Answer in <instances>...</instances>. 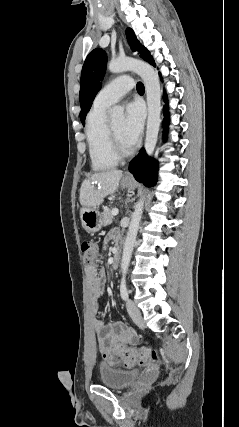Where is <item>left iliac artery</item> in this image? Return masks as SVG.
Wrapping results in <instances>:
<instances>
[{"label":"left iliac artery","mask_w":239,"mask_h":427,"mask_svg":"<svg viewBox=\"0 0 239 427\" xmlns=\"http://www.w3.org/2000/svg\"><path fill=\"white\" fill-rule=\"evenodd\" d=\"M128 294H129V292H128V289L126 286V279H125V277H123L121 279V283H120V295H121L123 300H127Z\"/></svg>","instance_id":"obj_1"}]
</instances>
